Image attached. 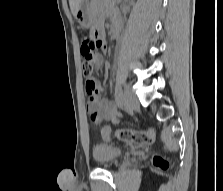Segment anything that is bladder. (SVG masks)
Wrapping results in <instances>:
<instances>
[{
	"label": "bladder",
	"mask_w": 223,
	"mask_h": 191,
	"mask_svg": "<svg viewBox=\"0 0 223 191\" xmlns=\"http://www.w3.org/2000/svg\"><path fill=\"white\" fill-rule=\"evenodd\" d=\"M121 155L122 149L113 143H98L92 148L94 162L102 166L113 164Z\"/></svg>",
	"instance_id": "31cf9c89"
}]
</instances>
